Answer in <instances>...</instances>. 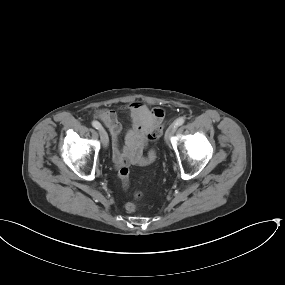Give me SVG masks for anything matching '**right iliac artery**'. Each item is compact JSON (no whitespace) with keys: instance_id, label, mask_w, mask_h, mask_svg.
<instances>
[{"instance_id":"82829eb1","label":"right iliac artery","mask_w":285,"mask_h":285,"mask_svg":"<svg viewBox=\"0 0 285 285\" xmlns=\"http://www.w3.org/2000/svg\"><path fill=\"white\" fill-rule=\"evenodd\" d=\"M92 126L96 129H99L102 127L98 121H92Z\"/></svg>"}]
</instances>
